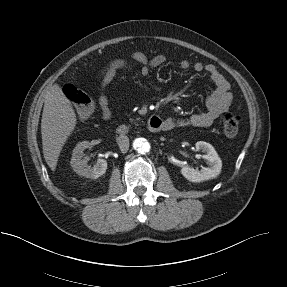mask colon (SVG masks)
Masks as SVG:
<instances>
[{
  "instance_id": "5ec220e1",
  "label": "colon",
  "mask_w": 287,
  "mask_h": 287,
  "mask_svg": "<svg viewBox=\"0 0 287 287\" xmlns=\"http://www.w3.org/2000/svg\"><path fill=\"white\" fill-rule=\"evenodd\" d=\"M65 96L75 104L77 113L81 117H89L95 107L93 98L87 93L77 89L73 85H67L64 87ZM240 117L233 112H226L221 117V123L224 129V133L233 137L238 133L240 125Z\"/></svg>"
}]
</instances>
